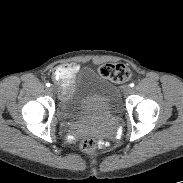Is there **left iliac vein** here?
I'll return each mask as SVG.
<instances>
[{
  "label": "left iliac vein",
  "mask_w": 183,
  "mask_h": 183,
  "mask_svg": "<svg viewBox=\"0 0 183 183\" xmlns=\"http://www.w3.org/2000/svg\"><path fill=\"white\" fill-rule=\"evenodd\" d=\"M124 94H129L131 92V87L129 85H125L123 87Z\"/></svg>",
  "instance_id": "left-iliac-vein-1"
}]
</instances>
